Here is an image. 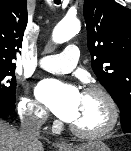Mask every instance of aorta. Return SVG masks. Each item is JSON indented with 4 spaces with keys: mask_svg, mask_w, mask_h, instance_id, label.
I'll return each instance as SVG.
<instances>
[{
    "mask_svg": "<svg viewBox=\"0 0 131 151\" xmlns=\"http://www.w3.org/2000/svg\"><path fill=\"white\" fill-rule=\"evenodd\" d=\"M80 31V22L76 18H65L53 30L52 39L56 43H64Z\"/></svg>",
    "mask_w": 131,
    "mask_h": 151,
    "instance_id": "762f6f07",
    "label": "aorta"
}]
</instances>
